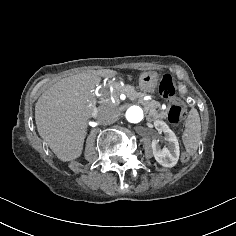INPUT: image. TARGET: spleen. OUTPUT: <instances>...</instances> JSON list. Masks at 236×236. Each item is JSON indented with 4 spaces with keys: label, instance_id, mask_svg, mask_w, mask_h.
Returning <instances> with one entry per match:
<instances>
[{
    "label": "spleen",
    "instance_id": "3e777b00",
    "mask_svg": "<svg viewBox=\"0 0 236 236\" xmlns=\"http://www.w3.org/2000/svg\"><path fill=\"white\" fill-rule=\"evenodd\" d=\"M185 126L186 129L183 132L182 141L186 151L192 155L198 148L201 131L200 117L195 108L191 109Z\"/></svg>",
    "mask_w": 236,
    "mask_h": 236
}]
</instances>
